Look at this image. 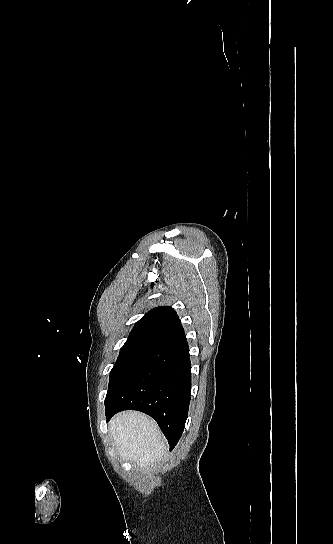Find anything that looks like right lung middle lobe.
<instances>
[{"label":"right lung middle lobe","mask_w":333,"mask_h":544,"mask_svg":"<svg viewBox=\"0 0 333 544\" xmlns=\"http://www.w3.org/2000/svg\"><path fill=\"white\" fill-rule=\"evenodd\" d=\"M151 349L148 347H132L120 350L117 361L110 372L105 404L123 387L137 367L147 358Z\"/></svg>","instance_id":"right-lung-middle-lobe-1"}]
</instances>
